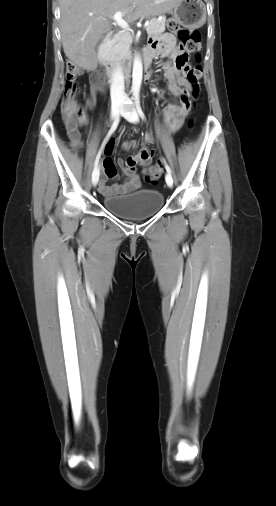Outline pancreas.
Here are the masks:
<instances>
[{
	"label": "pancreas",
	"instance_id": "obj_1",
	"mask_svg": "<svg viewBox=\"0 0 276 506\" xmlns=\"http://www.w3.org/2000/svg\"><path fill=\"white\" fill-rule=\"evenodd\" d=\"M165 31V21L152 19L147 27L148 35H158ZM130 51V39L126 32L115 35L107 45L106 58L111 61L126 57Z\"/></svg>",
	"mask_w": 276,
	"mask_h": 506
}]
</instances>
